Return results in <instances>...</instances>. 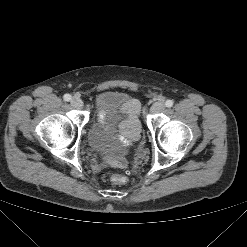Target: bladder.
<instances>
[{"mask_svg":"<svg viewBox=\"0 0 247 247\" xmlns=\"http://www.w3.org/2000/svg\"><path fill=\"white\" fill-rule=\"evenodd\" d=\"M132 102V97L119 91H104L99 94L96 100L97 117L88 134V143L94 154L112 157L119 152L122 146L112 139L116 133L122 134L130 142L140 136L139 125L130 132L121 127Z\"/></svg>","mask_w":247,"mask_h":247,"instance_id":"1","label":"bladder"}]
</instances>
